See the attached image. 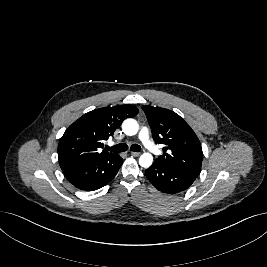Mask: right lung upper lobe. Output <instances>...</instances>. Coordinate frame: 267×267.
Instances as JSON below:
<instances>
[{"mask_svg":"<svg viewBox=\"0 0 267 267\" xmlns=\"http://www.w3.org/2000/svg\"><path fill=\"white\" fill-rule=\"evenodd\" d=\"M133 105L104 107L84 114L71 124L58 144V160L61 169L78 165L95 159L116 155L103 148V142L128 117L138 114Z\"/></svg>","mask_w":267,"mask_h":267,"instance_id":"right-lung-upper-lobe-1","label":"right lung upper lobe"}]
</instances>
